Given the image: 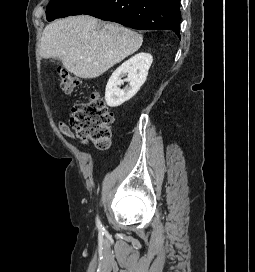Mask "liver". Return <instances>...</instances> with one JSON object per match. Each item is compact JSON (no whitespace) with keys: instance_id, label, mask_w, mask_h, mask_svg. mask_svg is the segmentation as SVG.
I'll return each mask as SVG.
<instances>
[{"instance_id":"6515ba94","label":"liver","mask_w":255,"mask_h":272,"mask_svg":"<svg viewBox=\"0 0 255 272\" xmlns=\"http://www.w3.org/2000/svg\"><path fill=\"white\" fill-rule=\"evenodd\" d=\"M89 15L70 16L48 24L42 33L40 55L57 58L75 76L99 77L133 54L142 35L117 23H104Z\"/></svg>"}]
</instances>
